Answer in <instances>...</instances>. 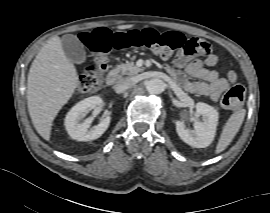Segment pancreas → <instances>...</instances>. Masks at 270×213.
<instances>
[{
    "label": "pancreas",
    "mask_w": 270,
    "mask_h": 213,
    "mask_svg": "<svg viewBox=\"0 0 270 213\" xmlns=\"http://www.w3.org/2000/svg\"><path fill=\"white\" fill-rule=\"evenodd\" d=\"M116 70L120 71L123 75L133 76L143 71L142 68L137 67L133 61L120 64L116 67Z\"/></svg>",
    "instance_id": "pancreas-1"
}]
</instances>
